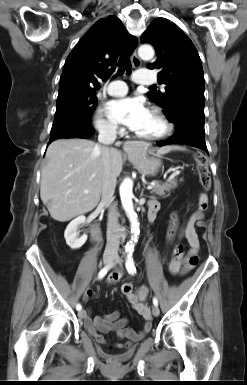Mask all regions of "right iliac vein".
<instances>
[{"label": "right iliac vein", "mask_w": 247, "mask_h": 385, "mask_svg": "<svg viewBox=\"0 0 247 385\" xmlns=\"http://www.w3.org/2000/svg\"><path fill=\"white\" fill-rule=\"evenodd\" d=\"M113 259L111 257H106L104 258V264L105 266H109L111 263H112ZM78 317L80 319H84L86 317V311L85 310H81L79 311L78 313Z\"/></svg>", "instance_id": "right-iliac-vein-1"}]
</instances>
